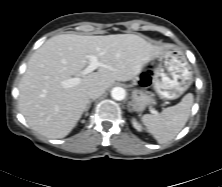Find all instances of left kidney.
<instances>
[{"instance_id":"obj_1","label":"left kidney","mask_w":222,"mask_h":187,"mask_svg":"<svg viewBox=\"0 0 222 187\" xmlns=\"http://www.w3.org/2000/svg\"><path fill=\"white\" fill-rule=\"evenodd\" d=\"M132 124L135 129H137L138 131H142V126L135 118L132 119Z\"/></svg>"}]
</instances>
